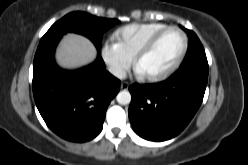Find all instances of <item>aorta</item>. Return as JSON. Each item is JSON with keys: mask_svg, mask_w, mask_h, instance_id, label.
<instances>
[{"mask_svg": "<svg viewBox=\"0 0 248 165\" xmlns=\"http://www.w3.org/2000/svg\"><path fill=\"white\" fill-rule=\"evenodd\" d=\"M116 100L121 105H127L131 102V94L129 91L123 90L117 94Z\"/></svg>", "mask_w": 248, "mask_h": 165, "instance_id": "1", "label": "aorta"}]
</instances>
